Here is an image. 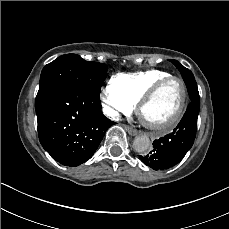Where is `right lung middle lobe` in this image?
I'll list each match as a JSON object with an SVG mask.
<instances>
[{
  "instance_id": "1",
  "label": "right lung middle lobe",
  "mask_w": 229,
  "mask_h": 229,
  "mask_svg": "<svg viewBox=\"0 0 229 229\" xmlns=\"http://www.w3.org/2000/svg\"><path fill=\"white\" fill-rule=\"evenodd\" d=\"M107 70L105 64L85 61L76 54L62 55L43 68L35 102L51 89L64 84H75L100 94Z\"/></svg>"
}]
</instances>
